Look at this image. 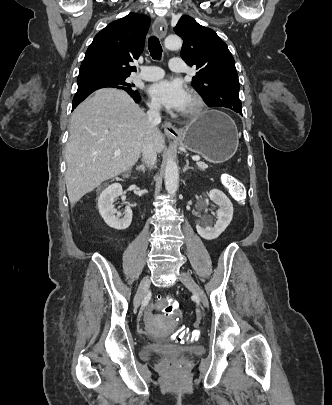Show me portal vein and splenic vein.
<instances>
[{
  "instance_id": "portal-vein-and-splenic-vein-1",
  "label": "portal vein and splenic vein",
  "mask_w": 332,
  "mask_h": 405,
  "mask_svg": "<svg viewBox=\"0 0 332 405\" xmlns=\"http://www.w3.org/2000/svg\"><path fill=\"white\" fill-rule=\"evenodd\" d=\"M120 153H121L120 149H117V150L114 152V154H115L116 156H117V155H120ZM192 160H194V161H199L200 158H199L198 156H193V157H192Z\"/></svg>"
}]
</instances>
